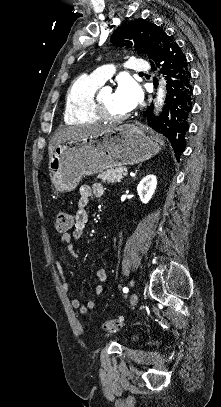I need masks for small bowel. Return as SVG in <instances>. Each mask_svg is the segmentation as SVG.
I'll use <instances>...</instances> for the list:
<instances>
[{
	"label": "small bowel",
	"instance_id": "c3829d8e",
	"mask_svg": "<svg viewBox=\"0 0 221 407\" xmlns=\"http://www.w3.org/2000/svg\"><path fill=\"white\" fill-rule=\"evenodd\" d=\"M94 194L96 197H103L105 194V189L101 184L93 185H83L79 191V198L77 201V210L73 218V228L71 233L62 234L60 236V242L67 244V249L72 257L78 258L80 255V250L77 246L73 244L74 241L78 240L84 233L88 222V204L91 195ZM57 269L59 274L63 277L62 265L57 264ZM96 277L99 283L95 286V294L101 295L104 292V283L107 281L108 275L104 268H100L96 271ZM63 287L66 292L69 291L68 284L64 281ZM95 301L89 300L86 304L78 298L71 299V306L78 310L80 313H87L89 310L95 308Z\"/></svg>",
	"mask_w": 221,
	"mask_h": 407
}]
</instances>
